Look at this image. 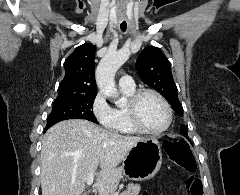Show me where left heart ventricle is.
I'll use <instances>...</instances> for the list:
<instances>
[{
  "label": "left heart ventricle",
  "mask_w": 240,
  "mask_h": 195,
  "mask_svg": "<svg viewBox=\"0 0 240 195\" xmlns=\"http://www.w3.org/2000/svg\"><path fill=\"white\" fill-rule=\"evenodd\" d=\"M140 117L145 127L160 128L165 120L164 109L160 101L153 95H145L140 103Z\"/></svg>",
  "instance_id": "1"
}]
</instances>
